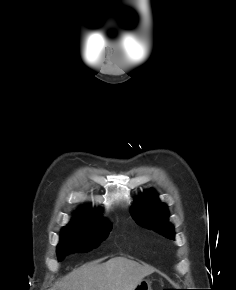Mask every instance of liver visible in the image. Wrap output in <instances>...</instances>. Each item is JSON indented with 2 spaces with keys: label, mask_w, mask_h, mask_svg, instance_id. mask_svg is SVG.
Segmentation results:
<instances>
[{
  "label": "liver",
  "mask_w": 236,
  "mask_h": 290,
  "mask_svg": "<svg viewBox=\"0 0 236 290\" xmlns=\"http://www.w3.org/2000/svg\"><path fill=\"white\" fill-rule=\"evenodd\" d=\"M153 268L125 257L89 263L65 276L60 290H134Z\"/></svg>",
  "instance_id": "6515ba94"
}]
</instances>
